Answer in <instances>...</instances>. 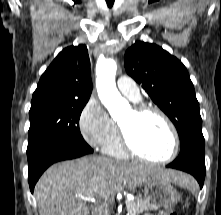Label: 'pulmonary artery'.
Instances as JSON below:
<instances>
[{
	"label": "pulmonary artery",
	"mask_w": 221,
	"mask_h": 215,
	"mask_svg": "<svg viewBox=\"0 0 221 215\" xmlns=\"http://www.w3.org/2000/svg\"><path fill=\"white\" fill-rule=\"evenodd\" d=\"M117 87L121 94H123L131 101L138 102L141 100L139 89L131 78L127 76L119 77L117 81Z\"/></svg>",
	"instance_id": "obj_1"
}]
</instances>
